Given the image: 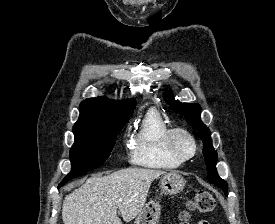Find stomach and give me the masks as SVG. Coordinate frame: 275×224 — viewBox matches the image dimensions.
Here are the masks:
<instances>
[{
  "label": "stomach",
  "instance_id": "1",
  "mask_svg": "<svg viewBox=\"0 0 275 224\" xmlns=\"http://www.w3.org/2000/svg\"><path fill=\"white\" fill-rule=\"evenodd\" d=\"M185 179L178 174L169 173L162 176L160 179L161 193L165 195H175L183 191ZM161 206L157 201L148 202L139 215L134 224H158L161 213Z\"/></svg>",
  "mask_w": 275,
  "mask_h": 224
}]
</instances>
